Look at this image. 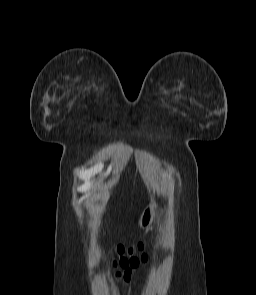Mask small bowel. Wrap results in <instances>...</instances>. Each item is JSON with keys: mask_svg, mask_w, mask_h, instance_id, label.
I'll return each mask as SVG.
<instances>
[{"mask_svg": "<svg viewBox=\"0 0 256 295\" xmlns=\"http://www.w3.org/2000/svg\"><path fill=\"white\" fill-rule=\"evenodd\" d=\"M133 272L131 270H126L123 273H118L117 278L122 279L124 282L128 283L132 280Z\"/></svg>", "mask_w": 256, "mask_h": 295, "instance_id": "obj_1", "label": "small bowel"}]
</instances>
